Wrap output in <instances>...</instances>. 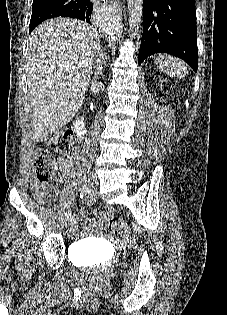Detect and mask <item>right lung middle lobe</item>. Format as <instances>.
Instances as JSON below:
<instances>
[{
    "label": "right lung middle lobe",
    "instance_id": "obj_1",
    "mask_svg": "<svg viewBox=\"0 0 227 315\" xmlns=\"http://www.w3.org/2000/svg\"><path fill=\"white\" fill-rule=\"evenodd\" d=\"M79 0H33L32 15L29 24L30 32L41 22L61 17L63 10Z\"/></svg>",
    "mask_w": 227,
    "mask_h": 315
}]
</instances>
